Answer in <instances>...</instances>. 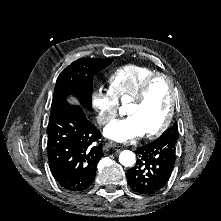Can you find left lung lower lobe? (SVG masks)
Listing matches in <instances>:
<instances>
[{"label": "left lung lower lobe", "mask_w": 221, "mask_h": 221, "mask_svg": "<svg viewBox=\"0 0 221 221\" xmlns=\"http://www.w3.org/2000/svg\"><path fill=\"white\" fill-rule=\"evenodd\" d=\"M177 141L159 137L137 148V163L127 171L129 186L137 193L151 195L163 189L173 170Z\"/></svg>", "instance_id": "obj_1"}]
</instances>
